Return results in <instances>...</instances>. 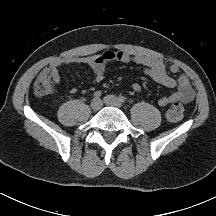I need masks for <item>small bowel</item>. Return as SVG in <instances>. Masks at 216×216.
Instances as JSON below:
<instances>
[{
	"instance_id": "1",
	"label": "small bowel",
	"mask_w": 216,
	"mask_h": 216,
	"mask_svg": "<svg viewBox=\"0 0 216 216\" xmlns=\"http://www.w3.org/2000/svg\"><path fill=\"white\" fill-rule=\"evenodd\" d=\"M110 62L134 63L144 67V74L158 84L165 87L177 88V91L168 96L158 99L161 107L180 102L189 103L194 98V91L190 82L184 74L180 72L177 64H168L162 59L145 54H131L124 51H105L101 54L85 57H65L53 60L44 71H50L54 76V82L60 83V68L63 66L85 65L93 72V81H102L106 74L107 64ZM169 72L178 74L176 78L171 77ZM132 89L135 92L141 91L139 83H133ZM70 94L76 93L75 88L69 90Z\"/></svg>"
}]
</instances>
